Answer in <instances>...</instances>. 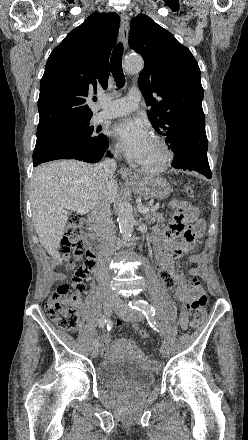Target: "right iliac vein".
Listing matches in <instances>:
<instances>
[{
	"instance_id": "1",
	"label": "right iliac vein",
	"mask_w": 248,
	"mask_h": 440,
	"mask_svg": "<svg viewBox=\"0 0 248 440\" xmlns=\"http://www.w3.org/2000/svg\"><path fill=\"white\" fill-rule=\"evenodd\" d=\"M116 300L111 296H104L103 298V308L107 315L110 314L111 310L115 305ZM99 353L98 347H92L90 349V354L93 358L97 357Z\"/></svg>"
}]
</instances>
